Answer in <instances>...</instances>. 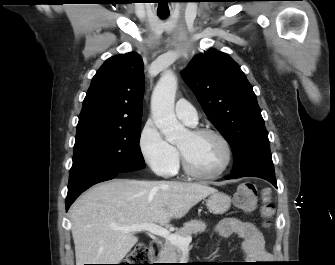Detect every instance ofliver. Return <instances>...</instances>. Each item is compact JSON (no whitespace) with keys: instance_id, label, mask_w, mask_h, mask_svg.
Masks as SVG:
<instances>
[{"instance_id":"obj_1","label":"liver","mask_w":335,"mask_h":265,"mask_svg":"<svg viewBox=\"0 0 335 265\" xmlns=\"http://www.w3.org/2000/svg\"><path fill=\"white\" fill-rule=\"evenodd\" d=\"M198 183L115 179L89 189L71 207L76 265L118 264L137 243L115 227L152 223L166 226L216 192Z\"/></svg>"}]
</instances>
